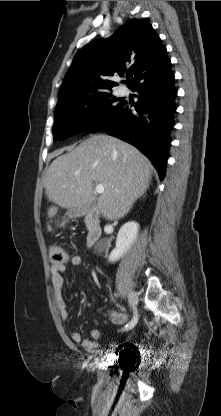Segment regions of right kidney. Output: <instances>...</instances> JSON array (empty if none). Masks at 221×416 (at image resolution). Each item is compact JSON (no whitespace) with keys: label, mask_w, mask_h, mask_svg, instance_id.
I'll list each match as a JSON object with an SVG mask.
<instances>
[{"label":"right kidney","mask_w":221,"mask_h":416,"mask_svg":"<svg viewBox=\"0 0 221 416\" xmlns=\"http://www.w3.org/2000/svg\"><path fill=\"white\" fill-rule=\"evenodd\" d=\"M138 230L139 224L135 221H129L120 228L116 239V247L108 257L110 262H116L123 257L124 253H126L135 242Z\"/></svg>","instance_id":"1"}]
</instances>
